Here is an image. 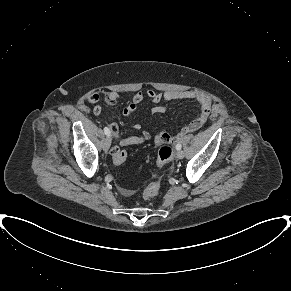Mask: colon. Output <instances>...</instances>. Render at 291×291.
<instances>
[{
    "instance_id": "obj_1",
    "label": "colon",
    "mask_w": 291,
    "mask_h": 291,
    "mask_svg": "<svg viewBox=\"0 0 291 291\" xmlns=\"http://www.w3.org/2000/svg\"><path fill=\"white\" fill-rule=\"evenodd\" d=\"M108 103H113L114 100L111 98L110 95L106 98ZM173 156V148L168 145L164 144L160 147L158 152V158H157V166L159 169H163L167 166L170 159ZM111 159L112 163L115 166H119L123 164L127 159V152L121 149L113 148L111 151ZM160 181L155 180L151 184L148 185V187L143 192V199L145 201H150L152 198H154L156 195H158L160 191Z\"/></svg>"
}]
</instances>
